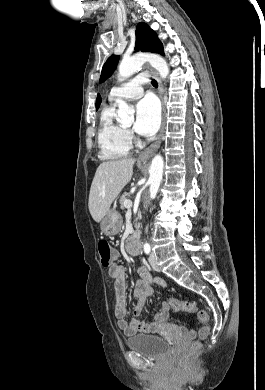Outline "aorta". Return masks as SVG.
Listing matches in <instances>:
<instances>
[{
  "mask_svg": "<svg viewBox=\"0 0 265 390\" xmlns=\"http://www.w3.org/2000/svg\"><path fill=\"white\" fill-rule=\"evenodd\" d=\"M145 62L155 68L162 79L169 74V67L164 58L157 54H136L128 59H124L119 65L118 77L124 80L136 71L140 70ZM134 109L124 101H118V119L121 123H132L134 121ZM164 161L161 155H156L151 162L149 169L150 195L156 196L163 176Z\"/></svg>",
  "mask_w": 265,
  "mask_h": 390,
  "instance_id": "aorta-1",
  "label": "aorta"
}]
</instances>
